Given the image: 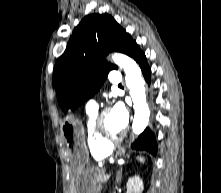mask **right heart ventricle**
<instances>
[{
	"label": "right heart ventricle",
	"mask_w": 221,
	"mask_h": 193,
	"mask_svg": "<svg viewBox=\"0 0 221 193\" xmlns=\"http://www.w3.org/2000/svg\"><path fill=\"white\" fill-rule=\"evenodd\" d=\"M97 115V111L88 112L85 124L86 141L90 154L94 158H104L112 152V146L102 143L95 132L94 127Z\"/></svg>",
	"instance_id": "e07e8e85"
}]
</instances>
